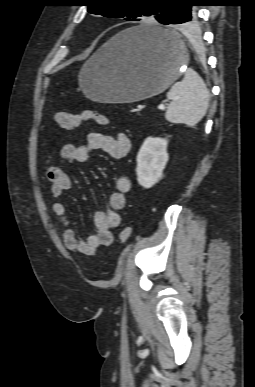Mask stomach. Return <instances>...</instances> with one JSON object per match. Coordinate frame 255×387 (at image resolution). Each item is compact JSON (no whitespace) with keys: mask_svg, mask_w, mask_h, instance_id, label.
Listing matches in <instances>:
<instances>
[{"mask_svg":"<svg viewBox=\"0 0 255 387\" xmlns=\"http://www.w3.org/2000/svg\"><path fill=\"white\" fill-rule=\"evenodd\" d=\"M159 30L167 39L154 42L140 35ZM188 53L179 36L156 24L121 31L81 68L79 85L98 102L131 103L157 95L181 75Z\"/></svg>","mask_w":255,"mask_h":387,"instance_id":"1","label":"stomach"}]
</instances>
